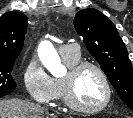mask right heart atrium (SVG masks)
Masks as SVG:
<instances>
[{"mask_svg": "<svg viewBox=\"0 0 133 118\" xmlns=\"http://www.w3.org/2000/svg\"><path fill=\"white\" fill-rule=\"evenodd\" d=\"M23 81L30 97L42 104H48L55 98L53 78L46 72L40 62L32 57L23 71Z\"/></svg>", "mask_w": 133, "mask_h": 118, "instance_id": "right-heart-atrium-1", "label": "right heart atrium"}]
</instances>
